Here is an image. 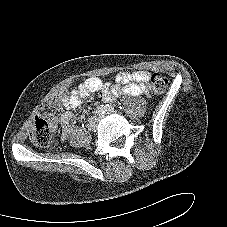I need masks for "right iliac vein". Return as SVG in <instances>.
Returning a JSON list of instances; mask_svg holds the SVG:
<instances>
[{
	"instance_id": "1",
	"label": "right iliac vein",
	"mask_w": 227,
	"mask_h": 227,
	"mask_svg": "<svg viewBox=\"0 0 227 227\" xmlns=\"http://www.w3.org/2000/svg\"><path fill=\"white\" fill-rule=\"evenodd\" d=\"M87 128L90 131H95L97 128V119L96 118H91L89 119L88 123H87Z\"/></svg>"
}]
</instances>
